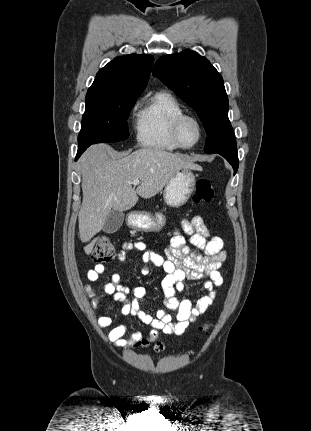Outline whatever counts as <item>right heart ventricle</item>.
Masks as SVG:
<instances>
[{
	"label": "right heart ventricle",
	"mask_w": 311,
	"mask_h": 431,
	"mask_svg": "<svg viewBox=\"0 0 311 431\" xmlns=\"http://www.w3.org/2000/svg\"><path fill=\"white\" fill-rule=\"evenodd\" d=\"M182 113L185 109L174 94L168 91L156 93L138 114L135 123L138 145L158 151L179 150L173 136V124Z\"/></svg>",
	"instance_id": "obj_1"
}]
</instances>
